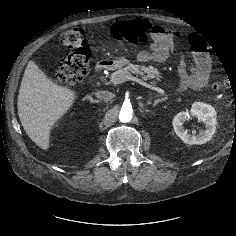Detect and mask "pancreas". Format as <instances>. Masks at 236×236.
<instances>
[{"label":"pancreas","instance_id":"cf45deb5","mask_svg":"<svg viewBox=\"0 0 236 236\" xmlns=\"http://www.w3.org/2000/svg\"><path fill=\"white\" fill-rule=\"evenodd\" d=\"M132 74H139V75H144V79H155V80H160L161 79V73L158 71L157 68H154L153 66L145 67L141 65H134V64H128L126 67L121 68L117 70L115 73L112 74L114 77H123L127 78L131 76ZM156 81H152V84H156Z\"/></svg>","mask_w":236,"mask_h":236}]
</instances>
